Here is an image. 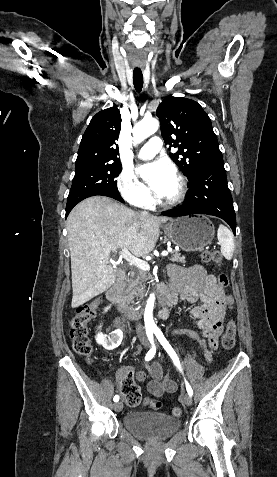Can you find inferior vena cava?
I'll use <instances>...</instances> for the list:
<instances>
[{
	"instance_id": "obj_1",
	"label": "inferior vena cava",
	"mask_w": 277,
	"mask_h": 477,
	"mask_svg": "<svg viewBox=\"0 0 277 477\" xmlns=\"http://www.w3.org/2000/svg\"><path fill=\"white\" fill-rule=\"evenodd\" d=\"M140 214H141L142 216H148V215H149L147 211H141ZM136 333H137V336H138V338H139L140 340H143V339H144L145 333H144V329H143L141 323H137V325H136Z\"/></svg>"
}]
</instances>
